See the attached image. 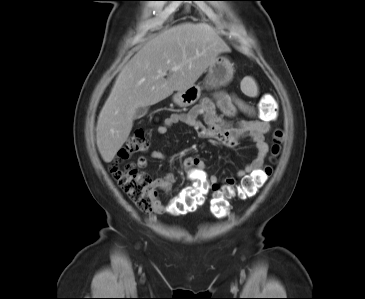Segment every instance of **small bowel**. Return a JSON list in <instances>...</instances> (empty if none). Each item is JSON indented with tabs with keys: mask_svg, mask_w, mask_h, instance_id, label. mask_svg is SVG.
<instances>
[{
	"mask_svg": "<svg viewBox=\"0 0 365 299\" xmlns=\"http://www.w3.org/2000/svg\"><path fill=\"white\" fill-rule=\"evenodd\" d=\"M214 99L217 106L212 99L205 97L188 112L173 113L166 117L162 125L157 128V134L165 135L176 124L184 123L192 127L199 137L215 139L232 148L237 147L242 138H250L255 144L256 155L252 161L237 170L235 176L226 178L225 182L227 185L234 184L237 179L252 174L263 166L264 159L268 153L265 134L269 131L270 125L267 119L255 118L252 107L235 96L216 92ZM217 107L221 113L217 111ZM238 111L245 113L251 118L235 123L226 121V118H234ZM150 156L156 160H161L165 157L159 150H153ZM137 163L140 167H146L148 159L145 156H140ZM182 166L191 178L198 182H204L213 187L219 182L218 176L206 172L205 163L201 157H186L183 160ZM174 182L175 175L169 172L164 176L153 179L151 185L154 190L169 191ZM168 209H170V204L168 207L165 206L157 199L156 195L154 212L160 214Z\"/></svg>",
	"mask_w": 365,
	"mask_h": 299,
	"instance_id": "obj_1",
	"label": "small bowel"
}]
</instances>
